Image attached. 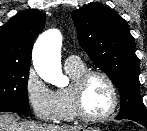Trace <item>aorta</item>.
<instances>
[{"mask_svg":"<svg viewBox=\"0 0 147 131\" xmlns=\"http://www.w3.org/2000/svg\"><path fill=\"white\" fill-rule=\"evenodd\" d=\"M62 37L58 30L51 29L39 36L32 54L33 66L37 74L46 82L57 87H65L68 78L61 68Z\"/></svg>","mask_w":147,"mask_h":131,"instance_id":"aorta-1","label":"aorta"}]
</instances>
